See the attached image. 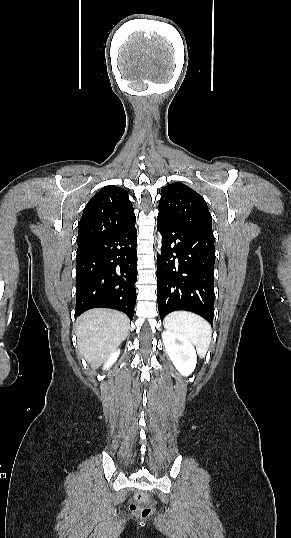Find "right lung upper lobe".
<instances>
[{
	"label": "right lung upper lobe",
	"mask_w": 291,
	"mask_h": 538,
	"mask_svg": "<svg viewBox=\"0 0 291 538\" xmlns=\"http://www.w3.org/2000/svg\"><path fill=\"white\" fill-rule=\"evenodd\" d=\"M136 217L128 193L105 186L87 203L79 222L77 244L83 245L134 225Z\"/></svg>",
	"instance_id": "obj_1"
}]
</instances>
